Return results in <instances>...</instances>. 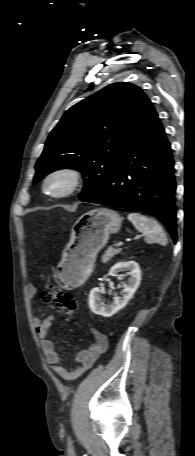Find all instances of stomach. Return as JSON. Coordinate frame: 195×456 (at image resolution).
I'll use <instances>...</instances> for the list:
<instances>
[{
  "mask_svg": "<svg viewBox=\"0 0 195 456\" xmlns=\"http://www.w3.org/2000/svg\"><path fill=\"white\" fill-rule=\"evenodd\" d=\"M122 217L114 210L98 208L81 215L74 223L69 242L59 263V277L71 286L85 282L91 274L97 253L109 235L120 230Z\"/></svg>",
  "mask_w": 195,
  "mask_h": 456,
  "instance_id": "stomach-1",
  "label": "stomach"
}]
</instances>
